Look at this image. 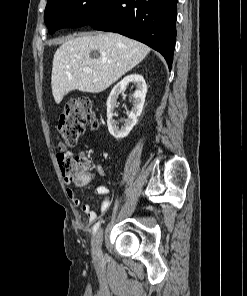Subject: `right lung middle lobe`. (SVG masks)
<instances>
[{"label":"right lung middle lobe","instance_id":"1","mask_svg":"<svg viewBox=\"0 0 247 296\" xmlns=\"http://www.w3.org/2000/svg\"><path fill=\"white\" fill-rule=\"evenodd\" d=\"M105 0H48L44 20L50 34L64 27H81L100 14Z\"/></svg>","mask_w":247,"mask_h":296}]
</instances>
